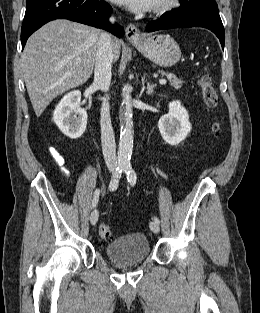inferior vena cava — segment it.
Instances as JSON below:
<instances>
[{"label":"inferior vena cava","instance_id":"obj_1","mask_svg":"<svg viewBox=\"0 0 260 313\" xmlns=\"http://www.w3.org/2000/svg\"><path fill=\"white\" fill-rule=\"evenodd\" d=\"M114 17L110 18L113 22ZM113 61L112 37L102 32L98 41L97 55L94 69V85L101 91L107 92L111 82V65ZM109 103L104 100L101 107V143L106 165L115 167L117 164L116 144L111 124Z\"/></svg>","mask_w":260,"mask_h":313}]
</instances>
